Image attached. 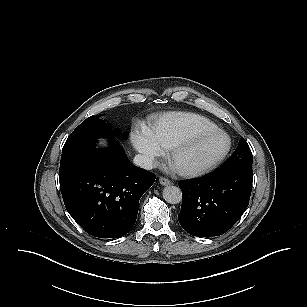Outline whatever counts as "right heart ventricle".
<instances>
[{
	"label": "right heart ventricle",
	"mask_w": 307,
	"mask_h": 307,
	"mask_svg": "<svg viewBox=\"0 0 307 307\" xmlns=\"http://www.w3.org/2000/svg\"><path fill=\"white\" fill-rule=\"evenodd\" d=\"M210 119L190 112H169L158 117L146 128L148 134L164 149H168L189 136L216 129Z\"/></svg>",
	"instance_id": "e07e8e85"
}]
</instances>
